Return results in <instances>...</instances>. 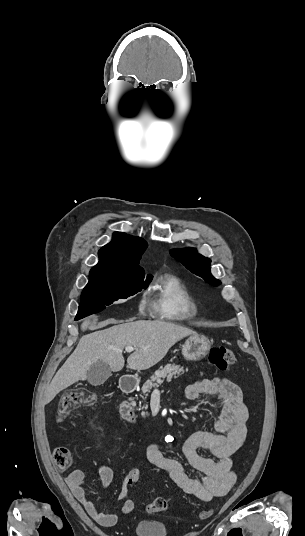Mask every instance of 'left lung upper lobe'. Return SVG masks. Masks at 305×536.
<instances>
[{
    "mask_svg": "<svg viewBox=\"0 0 305 536\" xmlns=\"http://www.w3.org/2000/svg\"><path fill=\"white\" fill-rule=\"evenodd\" d=\"M170 253L192 273L202 277L209 284L214 286L220 284V281L215 279L210 273L211 260L198 254L196 249L172 250Z\"/></svg>",
    "mask_w": 305,
    "mask_h": 536,
    "instance_id": "5c2ea615",
    "label": "left lung upper lobe"
}]
</instances>
